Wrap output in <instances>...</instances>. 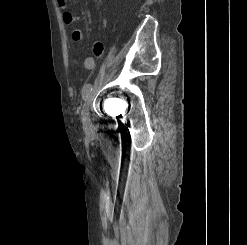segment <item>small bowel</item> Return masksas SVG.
<instances>
[{
	"label": "small bowel",
	"instance_id": "obj_1",
	"mask_svg": "<svg viewBox=\"0 0 247 245\" xmlns=\"http://www.w3.org/2000/svg\"><path fill=\"white\" fill-rule=\"evenodd\" d=\"M57 3L61 8H65L67 0H57ZM78 19H79L78 16H75L74 14H72L69 11H65L63 13V21L67 25L73 24ZM72 39L76 42L82 41L84 39L83 31L80 29L73 30ZM92 50H93L94 55L96 57H99L103 51V46L101 43L96 42V43H94ZM76 62L81 63L85 69H93L95 66V60L92 57H88V58L84 59L82 62H79V61H76Z\"/></svg>",
	"mask_w": 247,
	"mask_h": 245
}]
</instances>
